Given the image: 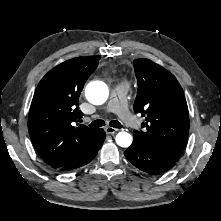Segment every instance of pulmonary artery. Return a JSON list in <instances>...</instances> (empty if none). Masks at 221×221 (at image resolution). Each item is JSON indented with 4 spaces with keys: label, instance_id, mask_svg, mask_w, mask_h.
I'll return each instance as SVG.
<instances>
[{
    "label": "pulmonary artery",
    "instance_id": "pulmonary-artery-1",
    "mask_svg": "<svg viewBox=\"0 0 221 221\" xmlns=\"http://www.w3.org/2000/svg\"><path fill=\"white\" fill-rule=\"evenodd\" d=\"M130 87L126 83H119L111 90L110 100L105 107L106 112L116 113L120 119L129 127L139 129L141 122L128 110L126 97Z\"/></svg>",
    "mask_w": 221,
    "mask_h": 221
}]
</instances>
